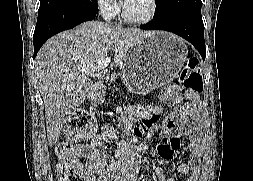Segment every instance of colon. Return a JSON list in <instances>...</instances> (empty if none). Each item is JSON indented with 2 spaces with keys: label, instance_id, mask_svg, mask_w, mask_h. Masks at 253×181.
I'll list each match as a JSON object with an SVG mask.
<instances>
[{
  "label": "colon",
  "instance_id": "obj_1",
  "mask_svg": "<svg viewBox=\"0 0 253 181\" xmlns=\"http://www.w3.org/2000/svg\"><path fill=\"white\" fill-rule=\"evenodd\" d=\"M181 83L185 89L198 93L203 89V79L198 61L190 59L189 68L182 76ZM94 119L85 111L75 113L67 122L64 131L66 141L59 146L61 161L58 169L59 181H89L79 162L73 158L70 141L82 140L93 132Z\"/></svg>",
  "mask_w": 253,
  "mask_h": 181
}]
</instances>
